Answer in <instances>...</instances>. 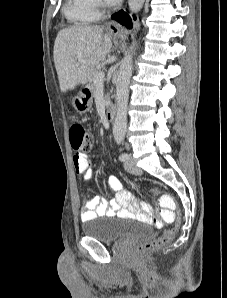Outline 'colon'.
Returning <instances> with one entry per match:
<instances>
[{
  "label": "colon",
  "mask_w": 227,
  "mask_h": 298,
  "mask_svg": "<svg viewBox=\"0 0 227 298\" xmlns=\"http://www.w3.org/2000/svg\"><path fill=\"white\" fill-rule=\"evenodd\" d=\"M70 142L74 150H87L90 151L93 145V136L90 130L81 123H74L70 127ZM152 192L156 195L159 194L158 189H153ZM160 201L164 206L165 216L169 221H174V226L165 231L158 239L148 243H144L139 247L141 254H146L155 251L167 244H169L175 237L178 227L180 225V214L175 210V204L170 196L163 194L160 196ZM155 225H161L162 220H151Z\"/></svg>",
  "instance_id": "obj_1"
}]
</instances>
